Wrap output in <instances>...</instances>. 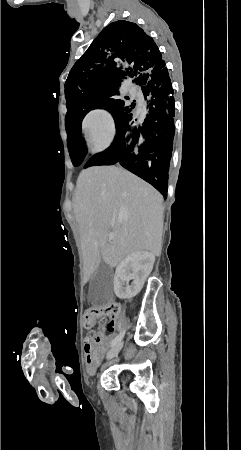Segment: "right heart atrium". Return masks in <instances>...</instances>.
Segmentation results:
<instances>
[{
  "label": "right heart atrium",
  "instance_id": "right-heart-atrium-1",
  "mask_svg": "<svg viewBox=\"0 0 241 450\" xmlns=\"http://www.w3.org/2000/svg\"><path fill=\"white\" fill-rule=\"evenodd\" d=\"M85 138L89 151L93 154L101 153L110 146L115 133V123L111 113L105 109H96L86 118Z\"/></svg>",
  "mask_w": 241,
  "mask_h": 450
}]
</instances>
